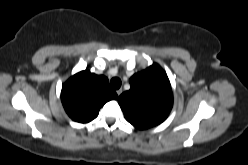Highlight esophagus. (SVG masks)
<instances>
[{"mask_svg":"<svg viewBox=\"0 0 248 165\" xmlns=\"http://www.w3.org/2000/svg\"><path fill=\"white\" fill-rule=\"evenodd\" d=\"M116 93H117L118 96H120V95L122 94V88L118 89V90L116 91Z\"/></svg>","mask_w":248,"mask_h":165,"instance_id":"1","label":"esophagus"}]
</instances>
